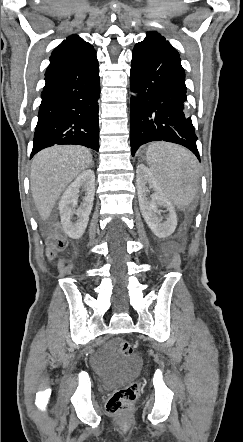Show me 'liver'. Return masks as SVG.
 I'll return each mask as SVG.
<instances>
[{"mask_svg": "<svg viewBox=\"0 0 243 442\" xmlns=\"http://www.w3.org/2000/svg\"><path fill=\"white\" fill-rule=\"evenodd\" d=\"M92 163L89 149L78 145L53 146L32 160L30 183L34 204L46 221L61 193Z\"/></svg>", "mask_w": 243, "mask_h": 442, "instance_id": "1", "label": "liver"}]
</instances>
